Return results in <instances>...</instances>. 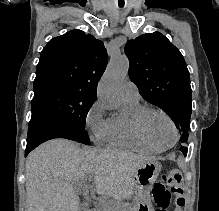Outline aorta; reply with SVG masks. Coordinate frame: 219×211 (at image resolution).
<instances>
[{"label":"aorta","mask_w":219,"mask_h":211,"mask_svg":"<svg viewBox=\"0 0 219 211\" xmlns=\"http://www.w3.org/2000/svg\"><path fill=\"white\" fill-rule=\"evenodd\" d=\"M129 61L125 56L113 58L98 86V96L110 110L118 108V94L124 78L128 74Z\"/></svg>","instance_id":"1"}]
</instances>
